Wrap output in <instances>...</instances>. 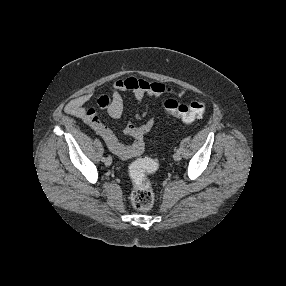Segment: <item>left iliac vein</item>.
I'll return each mask as SVG.
<instances>
[{
    "mask_svg": "<svg viewBox=\"0 0 286 286\" xmlns=\"http://www.w3.org/2000/svg\"><path fill=\"white\" fill-rule=\"evenodd\" d=\"M173 158L175 161H180L181 160V154L176 152L174 155H173Z\"/></svg>",
    "mask_w": 286,
    "mask_h": 286,
    "instance_id": "left-iliac-vein-1",
    "label": "left iliac vein"
}]
</instances>
